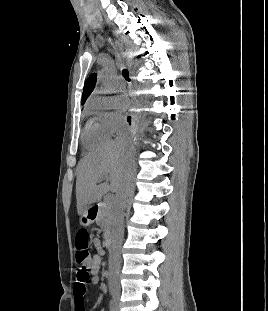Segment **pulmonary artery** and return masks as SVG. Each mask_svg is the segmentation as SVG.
Instances as JSON below:
<instances>
[{"mask_svg": "<svg viewBox=\"0 0 268 311\" xmlns=\"http://www.w3.org/2000/svg\"><path fill=\"white\" fill-rule=\"evenodd\" d=\"M124 86V84L122 83V82H120L119 84H118V88H122Z\"/></svg>", "mask_w": 268, "mask_h": 311, "instance_id": "obj_1", "label": "pulmonary artery"}]
</instances>
